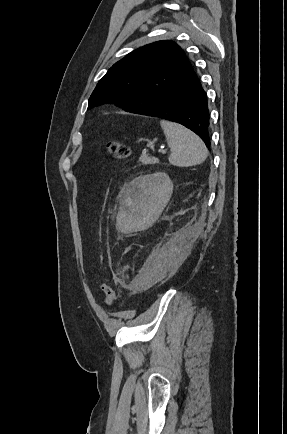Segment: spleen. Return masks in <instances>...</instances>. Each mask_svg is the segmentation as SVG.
Segmentation results:
<instances>
[{
	"label": "spleen",
	"instance_id": "3e777b00",
	"mask_svg": "<svg viewBox=\"0 0 287 434\" xmlns=\"http://www.w3.org/2000/svg\"><path fill=\"white\" fill-rule=\"evenodd\" d=\"M160 125L172 150L169 156L170 164L189 167L205 161L208 150L200 137L178 123L162 120ZM142 224H146V220H143Z\"/></svg>",
	"mask_w": 287,
	"mask_h": 434
}]
</instances>
